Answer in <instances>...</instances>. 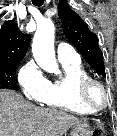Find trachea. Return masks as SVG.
<instances>
[{
    "instance_id": "obj_1",
    "label": "trachea",
    "mask_w": 117,
    "mask_h": 136,
    "mask_svg": "<svg viewBox=\"0 0 117 136\" xmlns=\"http://www.w3.org/2000/svg\"><path fill=\"white\" fill-rule=\"evenodd\" d=\"M32 3H33L35 6H42L43 3H44V0H32Z\"/></svg>"
}]
</instances>
